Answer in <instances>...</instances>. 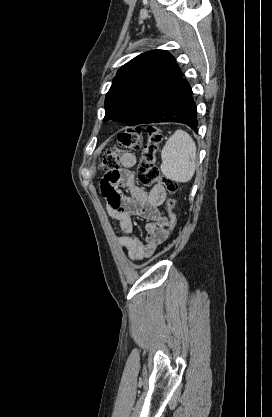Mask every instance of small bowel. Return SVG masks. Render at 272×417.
I'll use <instances>...</instances> for the list:
<instances>
[{
    "label": "small bowel",
    "mask_w": 272,
    "mask_h": 417,
    "mask_svg": "<svg viewBox=\"0 0 272 417\" xmlns=\"http://www.w3.org/2000/svg\"><path fill=\"white\" fill-rule=\"evenodd\" d=\"M122 168L116 173L106 174L101 181V193L106 201V211L119 225L122 235L117 238L120 247L127 249L128 256L138 261L153 255L169 236L168 218L160 210L166 199V190L155 184L149 191L140 187L132 170L137 165L133 153L121 156ZM121 189L129 191L124 195ZM132 216H139L148 222L145 240L134 234Z\"/></svg>",
    "instance_id": "small-bowel-1"
}]
</instances>
